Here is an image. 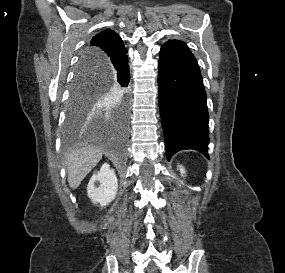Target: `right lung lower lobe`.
Instances as JSON below:
<instances>
[{
  "label": "right lung lower lobe",
  "mask_w": 285,
  "mask_h": 273,
  "mask_svg": "<svg viewBox=\"0 0 285 273\" xmlns=\"http://www.w3.org/2000/svg\"><path fill=\"white\" fill-rule=\"evenodd\" d=\"M123 54L122 56L106 59L104 57H97L89 62L88 66L93 70L100 71L106 75L108 81H110L116 87L126 90L130 81V72L128 66V56ZM122 127H125V119L121 120Z\"/></svg>",
  "instance_id": "right-lung-lower-lobe-1"
}]
</instances>
